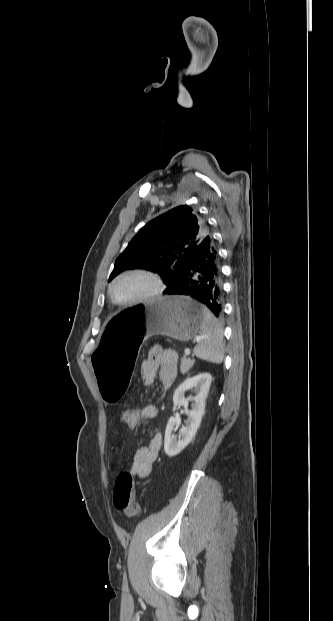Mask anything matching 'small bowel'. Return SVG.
<instances>
[{"label":"small bowel","mask_w":333,"mask_h":621,"mask_svg":"<svg viewBox=\"0 0 333 621\" xmlns=\"http://www.w3.org/2000/svg\"><path fill=\"white\" fill-rule=\"evenodd\" d=\"M177 353L172 349L155 346L150 349L148 357L142 363L141 377L145 384H151L158 375L161 384L168 388L177 376ZM156 415V408L152 405L141 410V420L151 419ZM162 444V435L155 432L148 445L139 447L131 466V475L140 479L147 478L153 469L154 462Z\"/></svg>","instance_id":"small-bowel-1"}]
</instances>
